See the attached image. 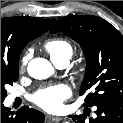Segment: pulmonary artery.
Masks as SVG:
<instances>
[{"mask_svg":"<svg viewBox=\"0 0 123 123\" xmlns=\"http://www.w3.org/2000/svg\"><path fill=\"white\" fill-rule=\"evenodd\" d=\"M68 63H69L68 60H62V61L57 62L56 65H57L59 68H65V67H67ZM16 96H18L17 93L12 94V98H14V97H16Z\"/></svg>","mask_w":123,"mask_h":123,"instance_id":"pulmonary-artery-1","label":"pulmonary artery"}]
</instances>
